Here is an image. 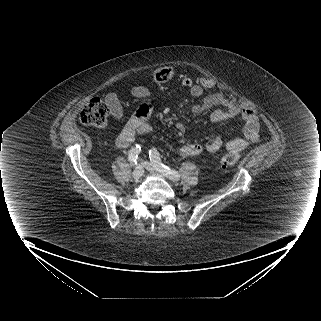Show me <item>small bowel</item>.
I'll list each match as a JSON object with an SVG mask.
<instances>
[{
  "mask_svg": "<svg viewBox=\"0 0 321 321\" xmlns=\"http://www.w3.org/2000/svg\"><path fill=\"white\" fill-rule=\"evenodd\" d=\"M182 84L189 90L194 97L200 96L203 92L202 86L192 82L188 77L183 78ZM132 94L135 97H146L147 90L142 86H136L132 89ZM111 115L121 120L123 118V108L118 96L110 93L105 98ZM224 104L223 109L216 110L212 114L214 121L222 122L235 118H241L244 122L243 135L231 139L224 143L220 138H214L205 146L197 143L187 144L178 149V154L182 157L198 156L204 152L214 153L223 146L232 152L242 151L253 143H256L260 138V123L256 111L250 107H239L231 102H225L223 96L219 93H213L204 98L200 103L192 107L194 114H201L204 111ZM149 108L147 105L142 106L134 115L126 122L124 129L116 139V145L121 149L130 147L136 138L141 134H147L152 131L151 125L148 123ZM179 131H184L182 122L176 125Z\"/></svg>",
  "mask_w": 321,
  "mask_h": 321,
  "instance_id": "c3829d8e",
  "label": "small bowel"
}]
</instances>
